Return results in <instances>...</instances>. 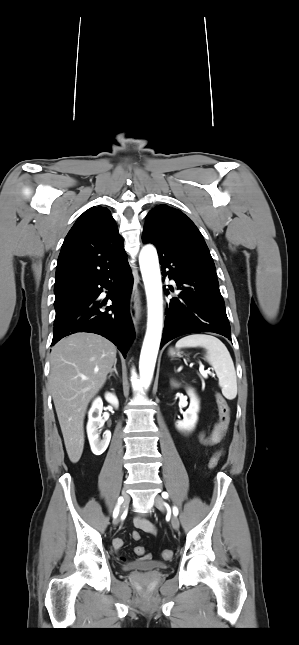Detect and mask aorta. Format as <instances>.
Returning <instances> with one entry per match:
<instances>
[{"label": "aorta", "instance_id": "aorta-1", "mask_svg": "<svg viewBox=\"0 0 299 645\" xmlns=\"http://www.w3.org/2000/svg\"><path fill=\"white\" fill-rule=\"evenodd\" d=\"M139 264L148 307L147 330L140 354L139 372L143 383L149 385L154 373L163 327L161 273L157 251L152 245L142 248Z\"/></svg>", "mask_w": 299, "mask_h": 645}]
</instances>
